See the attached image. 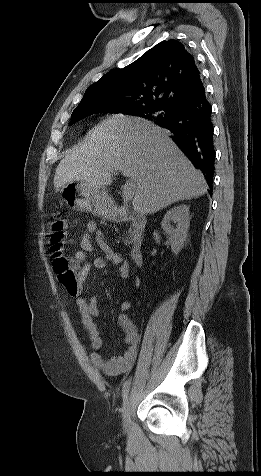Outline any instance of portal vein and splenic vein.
I'll return each mask as SVG.
<instances>
[{
	"mask_svg": "<svg viewBox=\"0 0 261 476\" xmlns=\"http://www.w3.org/2000/svg\"><path fill=\"white\" fill-rule=\"evenodd\" d=\"M132 187L133 185L130 181H127L123 186L122 198L125 202L130 201L134 196V191Z\"/></svg>",
	"mask_w": 261,
	"mask_h": 476,
	"instance_id": "obj_1",
	"label": "portal vein and splenic vein"
}]
</instances>
